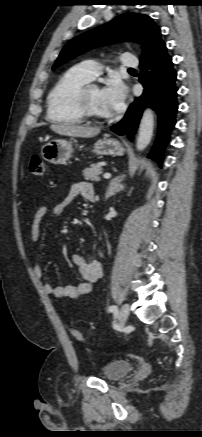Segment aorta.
I'll use <instances>...</instances> for the list:
<instances>
[{"label": "aorta", "instance_id": "762f6f07", "mask_svg": "<svg viewBox=\"0 0 202 437\" xmlns=\"http://www.w3.org/2000/svg\"><path fill=\"white\" fill-rule=\"evenodd\" d=\"M154 130V116L150 109H146L141 118L139 135L137 138L136 148L139 151L144 150L150 143Z\"/></svg>", "mask_w": 202, "mask_h": 437}]
</instances>
